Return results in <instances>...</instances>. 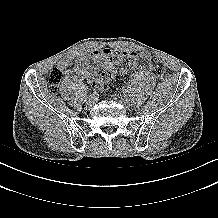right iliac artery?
Here are the masks:
<instances>
[{
	"mask_svg": "<svg viewBox=\"0 0 218 218\" xmlns=\"http://www.w3.org/2000/svg\"><path fill=\"white\" fill-rule=\"evenodd\" d=\"M88 96H89V97H92V96H94V94H93V91H92V90H89V91H88Z\"/></svg>",
	"mask_w": 218,
	"mask_h": 218,
	"instance_id": "obj_1",
	"label": "right iliac artery"
}]
</instances>
